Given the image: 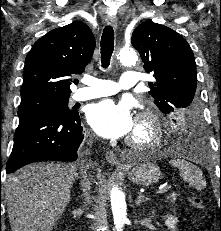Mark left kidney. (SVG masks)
I'll return each mask as SVG.
<instances>
[{"instance_id":"1","label":"left kidney","mask_w":221,"mask_h":231,"mask_svg":"<svg viewBox=\"0 0 221 231\" xmlns=\"http://www.w3.org/2000/svg\"><path fill=\"white\" fill-rule=\"evenodd\" d=\"M164 220H165V225L168 227L170 231H176L177 229L176 225H177L178 219L175 216L166 215L164 216Z\"/></svg>"}]
</instances>
